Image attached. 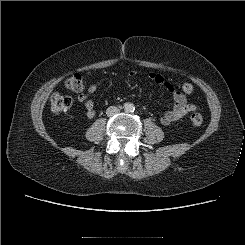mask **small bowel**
Returning a JSON list of instances; mask_svg holds the SVG:
<instances>
[{
	"label": "small bowel",
	"mask_w": 245,
	"mask_h": 245,
	"mask_svg": "<svg viewBox=\"0 0 245 245\" xmlns=\"http://www.w3.org/2000/svg\"><path fill=\"white\" fill-rule=\"evenodd\" d=\"M130 75L135 76L136 72H131ZM148 78L156 84L166 88L171 94L172 108L166 111L160 118V121L163 125H170L194 110V106L188 103L186 97L178 90H176L174 85L169 82L163 75L150 72L148 74ZM96 89L97 86L95 84H90L88 86V93L93 94ZM78 101L84 104L86 116L88 118H93L96 114L93 100L90 99L87 94L80 93L78 95Z\"/></svg>",
	"instance_id": "obj_1"
}]
</instances>
